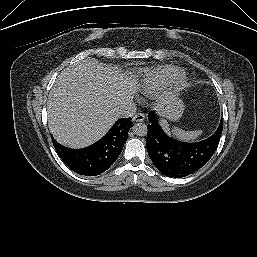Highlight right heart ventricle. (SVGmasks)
<instances>
[{
  "mask_svg": "<svg viewBox=\"0 0 257 257\" xmlns=\"http://www.w3.org/2000/svg\"><path fill=\"white\" fill-rule=\"evenodd\" d=\"M178 68L173 65H160L147 69L141 79V91L147 96H153L163 90Z\"/></svg>",
  "mask_w": 257,
  "mask_h": 257,
  "instance_id": "right-heart-ventricle-1",
  "label": "right heart ventricle"
}]
</instances>
